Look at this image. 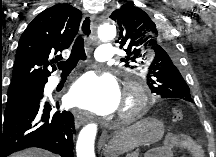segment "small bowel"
Here are the masks:
<instances>
[{
	"mask_svg": "<svg viewBox=\"0 0 216 157\" xmlns=\"http://www.w3.org/2000/svg\"><path fill=\"white\" fill-rule=\"evenodd\" d=\"M175 150L188 152L192 157H204L202 146L192 137L179 133H170L160 150L159 157H173Z\"/></svg>",
	"mask_w": 216,
	"mask_h": 157,
	"instance_id": "small-bowel-1",
	"label": "small bowel"
}]
</instances>
